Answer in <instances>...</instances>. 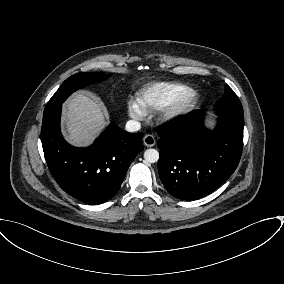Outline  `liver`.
<instances>
[{"label":"liver","instance_id":"obj_1","mask_svg":"<svg viewBox=\"0 0 284 284\" xmlns=\"http://www.w3.org/2000/svg\"><path fill=\"white\" fill-rule=\"evenodd\" d=\"M63 121L67 140L76 146L90 144L107 124L100 105L84 94H76L66 101Z\"/></svg>","mask_w":284,"mask_h":284}]
</instances>
